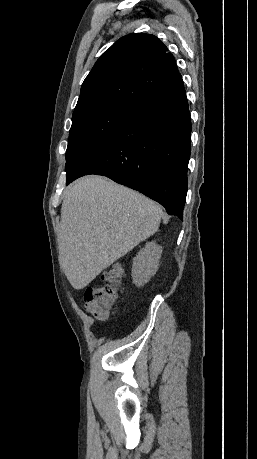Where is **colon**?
I'll return each mask as SVG.
<instances>
[{"label":"colon","mask_w":257,"mask_h":459,"mask_svg":"<svg viewBox=\"0 0 257 459\" xmlns=\"http://www.w3.org/2000/svg\"><path fill=\"white\" fill-rule=\"evenodd\" d=\"M105 284L88 287L84 293L85 309L98 318H105L117 299V288L122 278L120 265H113L104 272Z\"/></svg>","instance_id":"colon-1"}]
</instances>
